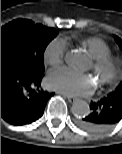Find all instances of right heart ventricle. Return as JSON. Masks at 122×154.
<instances>
[{
    "instance_id": "1",
    "label": "right heart ventricle",
    "mask_w": 122,
    "mask_h": 154,
    "mask_svg": "<svg viewBox=\"0 0 122 154\" xmlns=\"http://www.w3.org/2000/svg\"><path fill=\"white\" fill-rule=\"evenodd\" d=\"M70 38L65 37L68 41ZM79 44L88 50L92 59H98L110 55V47L101 39L98 38H83L79 40Z\"/></svg>"
}]
</instances>
